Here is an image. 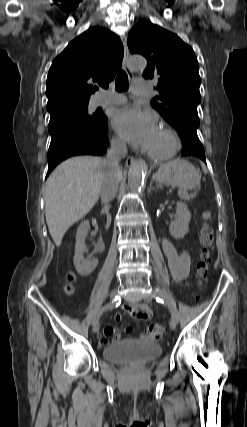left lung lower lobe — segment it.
Instances as JSON below:
<instances>
[{"label": "left lung lower lobe", "instance_id": "0a47b994", "mask_svg": "<svg viewBox=\"0 0 247 427\" xmlns=\"http://www.w3.org/2000/svg\"><path fill=\"white\" fill-rule=\"evenodd\" d=\"M177 132L183 144L182 156L196 157L206 163L204 148L197 136V129L183 125L177 128Z\"/></svg>", "mask_w": 247, "mask_h": 427}]
</instances>
